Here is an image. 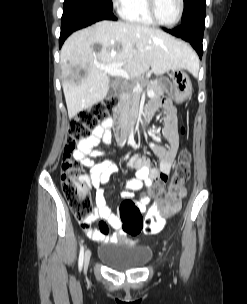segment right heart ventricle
I'll list each match as a JSON object with an SVG mask.
<instances>
[{"label":"right heart ventricle","instance_id":"1","mask_svg":"<svg viewBox=\"0 0 247 304\" xmlns=\"http://www.w3.org/2000/svg\"><path fill=\"white\" fill-rule=\"evenodd\" d=\"M122 16L125 20L130 22L144 25L154 24L148 14L146 0H131L129 5L123 9Z\"/></svg>","mask_w":247,"mask_h":304}]
</instances>
